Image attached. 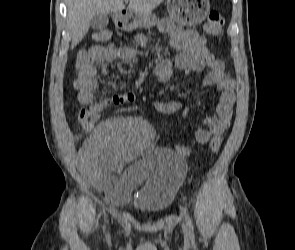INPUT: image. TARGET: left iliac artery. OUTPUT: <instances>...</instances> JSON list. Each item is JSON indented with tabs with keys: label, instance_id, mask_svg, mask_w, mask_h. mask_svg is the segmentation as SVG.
Returning <instances> with one entry per match:
<instances>
[{
	"label": "left iliac artery",
	"instance_id": "obj_1",
	"mask_svg": "<svg viewBox=\"0 0 295 250\" xmlns=\"http://www.w3.org/2000/svg\"><path fill=\"white\" fill-rule=\"evenodd\" d=\"M185 220H186V224L189 229L190 237L193 238L194 237L193 224H192V220H191L190 216L187 213L185 214Z\"/></svg>",
	"mask_w": 295,
	"mask_h": 250
}]
</instances>
